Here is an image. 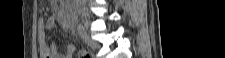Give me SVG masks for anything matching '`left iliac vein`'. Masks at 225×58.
Here are the masks:
<instances>
[{"instance_id":"1","label":"left iliac vein","mask_w":225,"mask_h":58,"mask_svg":"<svg viewBox=\"0 0 225 58\" xmlns=\"http://www.w3.org/2000/svg\"><path fill=\"white\" fill-rule=\"evenodd\" d=\"M83 39H84V42L88 45V46H90V47H92V48H99L100 47V45H99V43L97 42V41H95V40H93L88 34H84V37H83Z\"/></svg>"}]
</instances>
